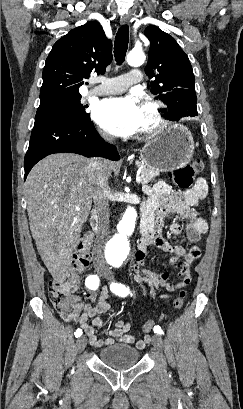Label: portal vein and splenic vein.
I'll return each instance as SVG.
<instances>
[{"instance_id":"1","label":"portal vein and splenic vein","mask_w":243,"mask_h":409,"mask_svg":"<svg viewBox=\"0 0 243 409\" xmlns=\"http://www.w3.org/2000/svg\"><path fill=\"white\" fill-rule=\"evenodd\" d=\"M136 182H137L138 184L141 183L140 173H137V175H136Z\"/></svg>"}]
</instances>
